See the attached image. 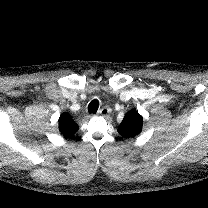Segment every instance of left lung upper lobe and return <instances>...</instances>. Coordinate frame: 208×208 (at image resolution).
I'll list each match as a JSON object with an SVG mask.
<instances>
[{
  "mask_svg": "<svg viewBox=\"0 0 208 208\" xmlns=\"http://www.w3.org/2000/svg\"><path fill=\"white\" fill-rule=\"evenodd\" d=\"M142 125V116L136 111V109H132L124 116L117 131L122 137L130 138L136 136L142 131Z\"/></svg>",
  "mask_w": 208,
  "mask_h": 208,
  "instance_id": "5c2ea615",
  "label": "left lung upper lobe"
}]
</instances>
